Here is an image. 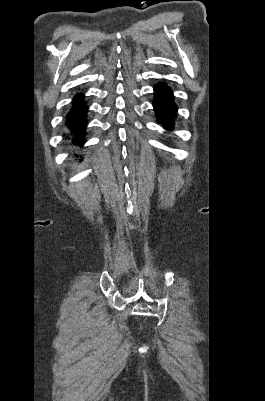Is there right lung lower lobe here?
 <instances>
[{
    "label": "right lung lower lobe",
    "mask_w": 265,
    "mask_h": 401,
    "mask_svg": "<svg viewBox=\"0 0 265 401\" xmlns=\"http://www.w3.org/2000/svg\"><path fill=\"white\" fill-rule=\"evenodd\" d=\"M83 98L82 94L74 97L73 106L66 117V126L74 135L73 143L77 145H82L85 141L82 135H85L87 124V106L83 103Z\"/></svg>",
    "instance_id": "98d812e1"
}]
</instances>
